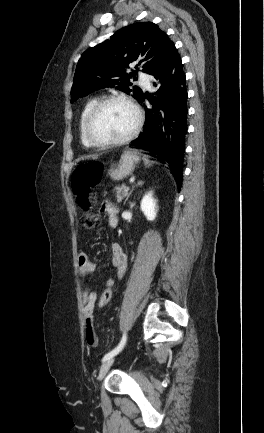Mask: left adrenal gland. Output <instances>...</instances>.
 Returning a JSON list of instances; mask_svg holds the SVG:
<instances>
[{
    "label": "left adrenal gland",
    "instance_id": "1",
    "mask_svg": "<svg viewBox=\"0 0 264 433\" xmlns=\"http://www.w3.org/2000/svg\"><path fill=\"white\" fill-rule=\"evenodd\" d=\"M143 183H144L143 181H138V182H137V184L132 188V190H131V191L129 192V194L127 195V197H126V199H125V201H124V204L126 203V201L128 200V198H129L130 195L132 194L134 188L137 187V186H142Z\"/></svg>",
    "mask_w": 264,
    "mask_h": 433
}]
</instances>
